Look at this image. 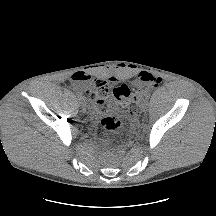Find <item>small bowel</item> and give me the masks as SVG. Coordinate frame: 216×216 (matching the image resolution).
<instances>
[{
	"label": "small bowel",
	"instance_id": "1",
	"mask_svg": "<svg viewBox=\"0 0 216 216\" xmlns=\"http://www.w3.org/2000/svg\"><path fill=\"white\" fill-rule=\"evenodd\" d=\"M70 80H71L74 84L78 85V84H80V83H82V82L87 81V80H88V76H87L85 73L76 72V73H74V74L71 75ZM121 86L125 87L127 90H130L129 87H128L127 85H121ZM121 86H120V87H121Z\"/></svg>",
	"mask_w": 216,
	"mask_h": 216
}]
</instances>
